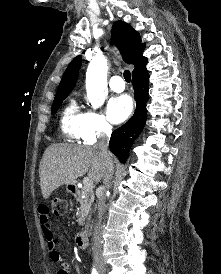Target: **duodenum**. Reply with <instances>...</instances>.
Masks as SVG:
<instances>
[{"mask_svg": "<svg viewBox=\"0 0 221 274\" xmlns=\"http://www.w3.org/2000/svg\"><path fill=\"white\" fill-rule=\"evenodd\" d=\"M72 193L74 196H79V190L77 188H72ZM76 243L80 248H85L88 245V235L86 230H81L76 236Z\"/></svg>", "mask_w": 221, "mask_h": 274, "instance_id": "410a0bca", "label": "duodenum"}]
</instances>
